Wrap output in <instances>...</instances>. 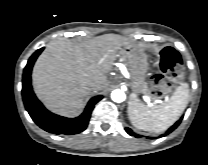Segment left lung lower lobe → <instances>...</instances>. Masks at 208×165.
<instances>
[{
  "instance_id": "1",
  "label": "left lung lower lobe",
  "mask_w": 208,
  "mask_h": 165,
  "mask_svg": "<svg viewBox=\"0 0 208 165\" xmlns=\"http://www.w3.org/2000/svg\"><path fill=\"white\" fill-rule=\"evenodd\" d=\"M183 117H181L172 127L169 128V130L166 132V134L172 132L175 128H177V126L180 124V122L182 121ZM126 132L130 135H133L135 137H139L138 134H135L131 129L129 128H125Z\"/></svg>"
}]
</instances>
